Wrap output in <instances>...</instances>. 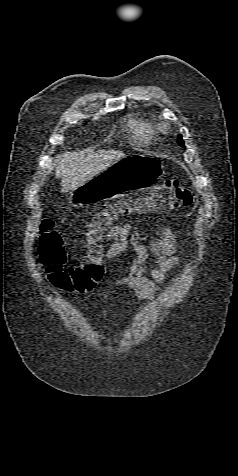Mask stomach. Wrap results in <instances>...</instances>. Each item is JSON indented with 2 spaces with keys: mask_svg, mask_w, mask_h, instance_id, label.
Returning a JSON list of instances; mask_svg holds the SVG:
<instances>
[{
  "mask_svg": "<svg viewBox=\"0 0 238 476\" xmlns=\"http://www.w3.org/2000/svg\"><path fill=\"white\" fill-rule=\"evenodd\" d=\"M163 165L155 156H124L81 186L69 192V203L82 207L119 195H133L134 190H150V183H158Z\"/></svg>",
  "mask_w": 238,
  "mask_h": 476,
  "instance_id": "0dacf381",
  "label": "stomach"
}]
</instances>
